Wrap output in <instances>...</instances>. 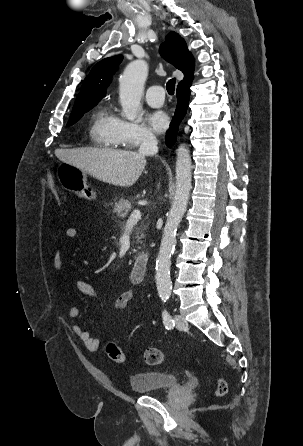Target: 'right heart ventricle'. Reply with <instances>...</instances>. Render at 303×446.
Instances as JSON below:
<instances>
[{"label":"right heart ventricle","mask_w":303,"mask_h":446,"mask_svg":"<svg viewBox=\"0 0 303 446\" xmlns=\"http://www.w3.org/2000/svg\"><path fill=\"white\" fill-rule=\"evenodd\" d=\"M119 118L109 107H102L92 117L89 137L93 145L103 148H116L121 145L118 136Z\"/></svg>","instance_id":"obj_1"}]
</instances>
